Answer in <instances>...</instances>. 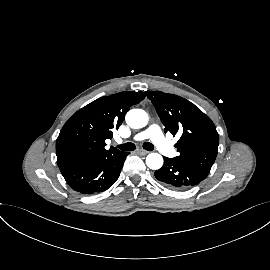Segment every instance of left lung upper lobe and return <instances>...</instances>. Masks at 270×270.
<instances>
[{
    "label": "left lung upper lobe",
    "mask_w": 270,
    "mask_h": 270,
    "mask_svg": "<svg viewBox=\"0 0 270 270\" xmlns=\"http://www.w3.org/2000/svg\"><path fill=\"white\" fill-rule=\"evenodd\" d=\"M165 126V133L181 134L176 158L210 172L216 159L219 135L210 118L188 100L160 91H146Z\"/></svg>",
    "instance_id": "obj_1"
}]
</instances>
